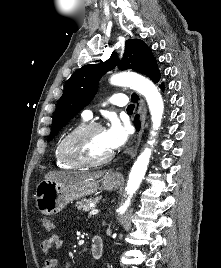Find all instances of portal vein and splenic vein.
I'll use <instances>...</instances> for the list:
<instances>
[{
    "label": "portal vein and splenic vein",
    "mask_w": 221,
    "mask_h": 268,
    "mask_svg": "<svg viewBox=\"0 0 221 268\" xmlns=\"http://www.w3.org/2000/svg\"><path fill=\"white\" fill-rule=\"evenodd\" d=\"M99 213V210L96 209L95 207L91 209V211L89 212V215H96Z\"/></svg>",
    "instance_id": "18ae733b"
}]
</instances>
